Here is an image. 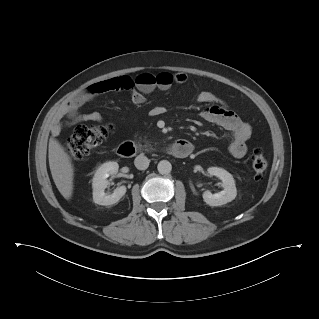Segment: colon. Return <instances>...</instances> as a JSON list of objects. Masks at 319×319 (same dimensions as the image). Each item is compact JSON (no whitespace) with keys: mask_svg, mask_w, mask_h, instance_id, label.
<instances>
[{"mask_svg":"<svg viewBox=\"0 0 319 319\" xmlns=\"http://www.w3.org/2000/svg\"><path fill=\"white\" fill-rule=\"evenodd\" d=\"M159 74L143 73L136 79L127 80L122 84V89L129 90L135 86L139 88H150L158 84ZM110 124L79 126L68 138L65 148L72 159H81L96 149L112 132ZM251 167L254 177L262 179L268 167V159L261 150H256L251 158Z\"/></svg>","mask_w":319,"mask_h":319,"instance_id":"obj_1","label":"colon"}]
</instances>
